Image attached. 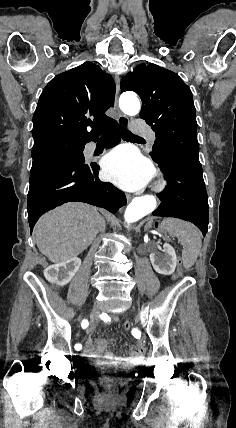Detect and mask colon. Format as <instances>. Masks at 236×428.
Returning <instances> with one entry per match:
<instances>
[{
	"instance_id": "obj_1",
	"label": "colon",
	"mask_w": 236,
	"mask_h": 428,
	"mask_svg": "<svg viewBox=\"0 0 236 428\" xmlns=\"http://www.w3.org/2000/svg\"><path fill=\"white\" fill-rule=\"evenodd\" d=\"M180 273H178V275H179ZM130 323L129 322H126L125 324H124V327H125V329H129L130 328Z\"/></svg>"
}]
</instances>
